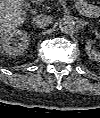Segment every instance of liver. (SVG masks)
I'll return each mask as SVG.
<instances>
[{"instance_id":"6515ba94","label":"liver","mask_w":100,"mask_h":118,"mask_svg":"<svg viewBox=\"0 0 100 118\" xmlns=\"http://www.w3.org/2000/svg\"><path fill=\"white\" fill-rule=\"evenodd\" d=\"M25 21L20 0H1L0 30L1 33L16 29Z\"/></svg>"}]
</instances>
